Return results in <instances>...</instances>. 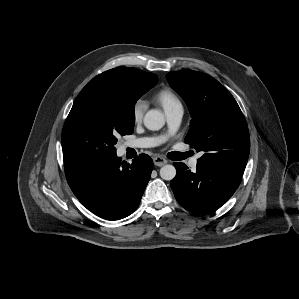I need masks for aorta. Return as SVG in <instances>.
<instances>
[{"label":"aorta","instance_id":"aorta-1","mask_svg":"<svg viewBox=\"0 0 299 299\" xmlns=\"http://www.w3.org/2000/svg\"><path fill=\"white\" fill-rule=\"evenodd\" d=\"M144 125L147 129L156 131L160 130L165 125V117L161 111L156 109L149 110L144 116ZM162 179L170 181L176 176V169L173 165H164L160 169Z\"/></svg>","mask_w":299,"mask_h":299}]
</instances>
